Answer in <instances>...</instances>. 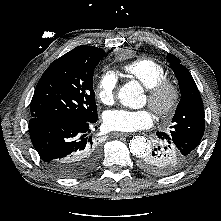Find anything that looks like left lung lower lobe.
Instances as JSON below:
<instances>
[{
	"mask_svg": "<svg viewBox=\"0 0 221 221\" xmlns=\"http://www.w3.org/2000/svg\"><path fill=\"white\" fill-rule=\"evenodd\" d=\"M158 143L152 152L140 157L138 166L154 176H169L183 169L191 158H187L177 148L168 133L156 132Z\"/></svg>",
	"mask_w": 221,
	"mask_h": 221,
	"instance_id": "1",
	"label": "left lung lower lobe"
}]
</instances>
